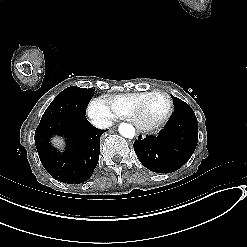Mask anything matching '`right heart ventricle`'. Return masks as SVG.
I'll list each match as a JSON object with an SVG mask.
<instances>
[{"mask_svg": "<svg viewBox=\"0 0 247 247\" xmlns=\"http://www.w3.org/2000/svg\"><path fill=\"white\" fill-rule=\"evenodd\" d=\"M150 91L126 93L119 95H104L101 99L112 111V119L132 117L139 102L143 101Z\"/></svg>", "mask_w": 247, "mask_h": 247, "instance_id": "e07e8e85", "label": "right heart ventricle"}]
</instances>
